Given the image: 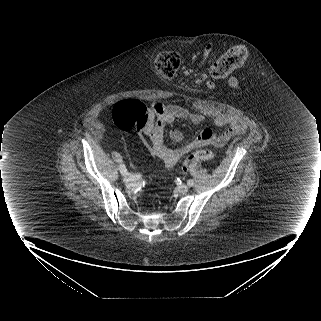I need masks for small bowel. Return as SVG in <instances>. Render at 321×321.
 <instances>
[{"instance_id":"small-bowel-1","label":"small bowel","mask_w":321,"mask_h":321,"mask_svg":"<svg viewBox=\"0 0 321 321\" xmlns=\"http://www.w3.org/2000/svg\"><path fill=\"white\" fill-rule=\"evenodd\" d=\"M213 44H208L204 54L203 63L207 62L213 52ZM227 82L233 87L235 93L242 91L246 93L248 88L243 83L234 81L232 77L227 79ZM208 91L213 93L215 85L209 83ZM178 119H186L195 125L201 124L205 116L200 112H192L179 105H165L161 102H154L148 108V121L143 128V134L148 136L150 142L151 154L158 158L166 168H172L185 154L193 150L197 146H201L199 141L205 136V131L211 133V143L214 146H223L227 144L234 136L242 134L246 131L245 121L238 116L221 113L215 116L213 124L218 128H226L221 133H216L207 128L204 129L195 140L176 149H170L164 144V130L169 124H172ZM169 137L174 142H180L183 139V133L179 129H172L169 132Z\"/></svg>"}]
</instances>
